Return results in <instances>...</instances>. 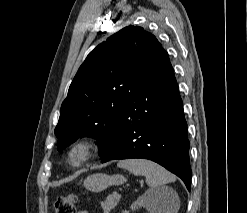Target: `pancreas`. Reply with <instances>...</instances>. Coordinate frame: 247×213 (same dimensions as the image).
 <instances>
[{"mask_svg":"<svg viewBox=\"0 0 247 213\" xmlns=\"http://www.w3.org/2000/svg\"><path fill=\"white\" fill-rule=\"evenodd\" d=\"M120 201V197L116 196L115 194L109 195L106 200L101 202L102 209L104 213H109L112 209L117 206Z\"/></svg>","mask_w":247,"mask_h":213,"instance_id":"pancreas-1","label":"pancreas"}]
</instances>
